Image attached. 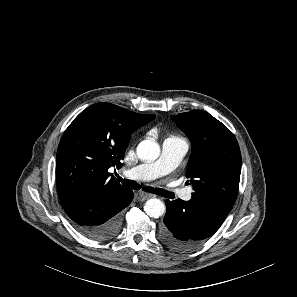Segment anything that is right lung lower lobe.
<instances>
[{"mask_svg": "<svg viewBox=\"0 0 297 297\" xmlns=\"http://www.w3.org/2000/svg\"><path fill=\"white\" fill-rule=\"evenodd\" d=\"M132 199L130 189L104 188L84 194L64 210L81 234L93 240L106 241L120 231L122 210Z\"/></svg>", "mask_w": 297, "mask_h": 297, "instance_id": "1", "label": "right lung lower lobe"}]
</instances>
